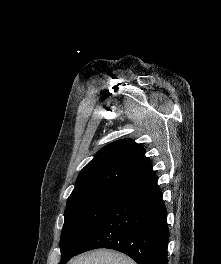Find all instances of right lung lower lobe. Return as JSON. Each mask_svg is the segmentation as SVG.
<instances>
[{
	"mask_svg": "<svg viewBox=\"0 0 221 264\" xmlns=\"http://www.w3.org/2000/svg\"><path fill=\"white\" fill-rule=\"evenodd\" d=\"M157 180L151 174L127 186L82 246L60 264L96 248L118 250L137 264H167V211Z\"/></svg>",
	"mask_w": 221,
	"mask_h": 264,
	"instance_id": "obj_1",
	"label": "right lung lower lobe"
}]
</instances>
